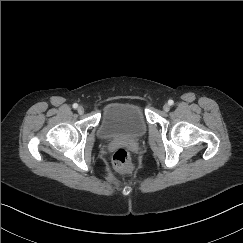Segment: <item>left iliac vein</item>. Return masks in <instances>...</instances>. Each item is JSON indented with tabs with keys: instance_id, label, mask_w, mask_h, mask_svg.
I'll list each match as a JSON object with an SVG mask.
<instances>
[{
	"instance_id": "left-iliac-vein-1",
	"label": "left iliac vein",
	"mask_w": 243,
	"mask_h": 243,
	"mask_svg": "<svg viewBox=\"0 0 243 243\" xmlns=\"http://www.w3.org/2000/svg\"><path fill=\"white\" fill-rule=\"evenodd\" d=\"M163 110H164L165 112H168V111L170 110V106H169V104H165V105L163 106Z\"/></svg>"
}]
</instances>
